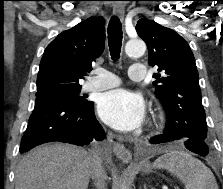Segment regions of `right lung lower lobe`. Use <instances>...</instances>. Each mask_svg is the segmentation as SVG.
Returning a JSON list of instances; mask_svg holds the SVG:
<instances>
[{"instance_id": "obj_1", "label": "right lung lower lobe", "mask_w": 223, "mask_h": 189, "mask_svg": "<svg viewBox=\"0 0 223 189\" xmlns=\"http://www.w3.org/2000/svg\"><path fill=\"white\" fill-rule=\"evenodd\" d=\"M104 137L93 102L77 106L62 100L36 99L19 151L24 153L53 141L83 146L93 138L102 140Z\"/></svg>"}]
</instances>
